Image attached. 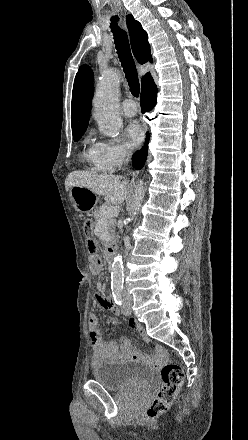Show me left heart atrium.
Returning <instances> with one entry per match:
<instances>
[{
  "instance_id": "39dd6f15",
  "label": "left heart atrium",
  "mask_w": 248,
  "mask_h": 440,
  "mask_svg": "<svg viewBox=\"0 0 248 440\" xmlns=\"http://www.w3.org/2000/svg\"><path fill=\"white\" fill-rule=\"evenodd\" d=\"M125 136L129 140L130 144L136 147L142 142L144 132L141 125L137 121H131L126 126Z\"/></svg>"
}]
</instances>
